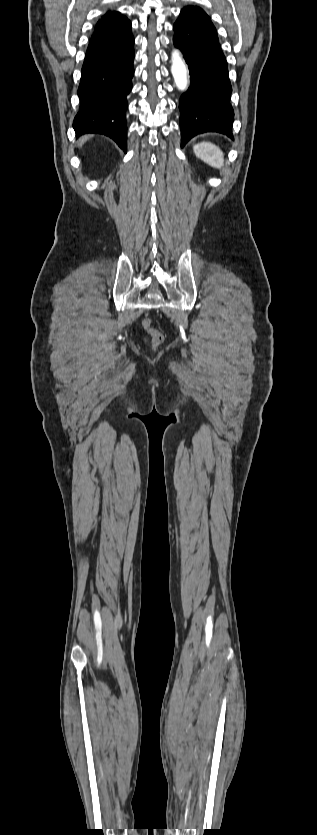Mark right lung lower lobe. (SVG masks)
<instances>
[{
    "mask_svg": "<svg viewBox=\"0 0 317 835\" xmlns=\"http://www.w3.org/2000/svg\"><path fill=\"white\" fill-rule=\"evenodd\" d=\"M132 34L115 42L93 33L81 70L78 88L80 111L76 134L99 133L112 138L126 152L125 112L134 74Z\"/></svg>",
    "mask_w": 317,
    "mask_h": 835,
    "instance_id": "98d812e1",
    "label": "right lung lower lobe"
}]
</instances>
